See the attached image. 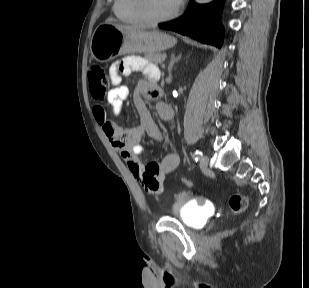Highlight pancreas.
I'll list each match as a JSON object with an SVG mask.
<instances>
[{"label": "pancreas", "instance_id": "1", "mask_svg": "<svg viewBox=\"0 0 309 288\" xmlns=\"http://www.w3.org/2000/svg\"><path fill=\"white\" fill-rule=\"evenodd\" d=\"M146 59L154 64L162 63L165 59V54L162 53H156V54H147Z\"/></svg>", "mask_w": 309, "mask_h": 288}]
</instances>
